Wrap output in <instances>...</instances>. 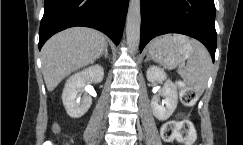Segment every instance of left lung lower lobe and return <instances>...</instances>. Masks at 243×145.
<instances>
[{
  "label": "left lung lower lobe",
  "instance_id": "obj_1",
  "mask_svg": "<svg viewBox=\"0 0 243 145\" xmlns=\"http://www.w3.org/2000/svg\"><path fill=\"white\" fill-rule=\"evenodd\" d=\"M214 0H141L140 51L155 36L181 33L202 42L215 59Z\"/></svg>",
  "mask_w": 243,
  "mask_h": 145
}]
</instances>
